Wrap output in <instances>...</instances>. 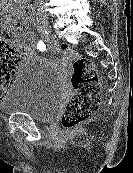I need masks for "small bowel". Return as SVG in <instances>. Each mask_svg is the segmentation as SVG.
Here are the masks:
<instances>
[{"mask_svg":"<svg viewBox=\"0 0 133 173\" xmlns=\"http://www.w3.org/2000/svg\"><path fill=\"white\" fill-rule=\"evenodd\" d=\"M30 21L33 23L34 21L32 20V18L30 19ZM24 37H28L29 40H34V34L30 31H28ZM18 51L21 53V55H23L24 57L30 59L33 58L34 56V50L32 48V46H30L29 44H27L25 42L24 39H21L20 42L18 43L17 46Z\"/></svg>","mask_w":133,"mask_h":173,"instance_id":"1","label":"small bowel"}]
</instances>
